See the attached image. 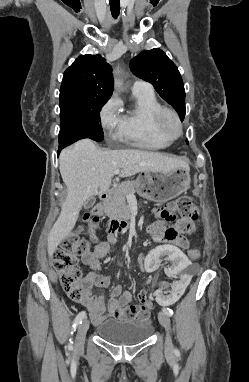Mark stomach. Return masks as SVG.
<instances>
[{
  "instance_id": "stomach-1",
  "label": "stomach",
  "mask_w": 249,
  "mask_h": 382,
  "mask_svg": "<svg viewBox=\"0 0 249 382\" xmlns=\"http://www.w3.org/2000/svg\"><path fill=\"white\" fill-rule=\"evenodd\" d=\"M136 192L153 202H166L171 200L190 187L191 177L189 170L177 168L170 172L145 171L139 174L136 180Z\"/></svg>"
}]
</instances>
